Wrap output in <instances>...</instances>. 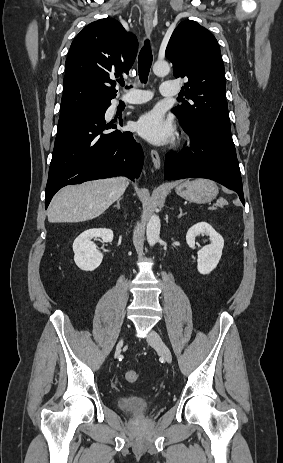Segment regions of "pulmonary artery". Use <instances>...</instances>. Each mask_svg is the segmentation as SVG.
I'll list each match as a JSON object with an SVG mask.
<instances>
[{"mask_svg": "<svg viewBox=\"0 0 283 463\" xmlns=\"http://www.w3.org/2000/svg\"><path fill=\"white\" fill-rule=\"evenodd\" d=\"M160 94L165 97H176L179 93V87L172 81H164L159 87ZM152 98V93L149 91L134 90L133 93L122 96L119 101L125 103H143Z\"/></svg>", "mask_w": 283, "mask_h": 463, "instance_id": "obj_1", "label": "pulmonary artery"}]
</instances>
